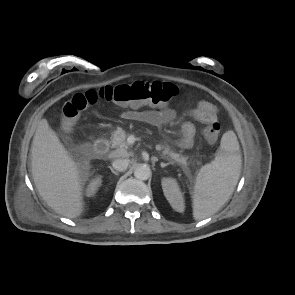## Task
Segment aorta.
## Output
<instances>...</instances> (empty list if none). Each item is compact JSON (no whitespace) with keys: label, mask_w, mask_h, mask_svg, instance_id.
I'll list each match as a JSON object with an SVG mask.
<instances>
[{"label":"aorta","mask_w":295,"mask_h":295,"mask_svg":"<svg viewBox=\"0 0 295 295\" xmlns=\"http://www.w3.org/2000/svg\"><path fill=\"white\" fill-rule=\"evenodd\" d=\"M134 176L139 180H147L151 176V170L148 166L139 165L134 170Z\"/></svg>","instance_id":"obj_1"}]
</instances>
